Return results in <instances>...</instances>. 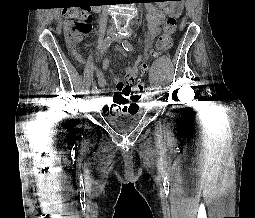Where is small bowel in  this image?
Listing matches in <instances>:
<instances>
[{"label":"small bowel","instance_id":"c3829d8e","mask_svg":"<svg viewBox=\"0 0 255 218\" xmlns=\"http://www.w3.org/2000/svg\"><path fill=\"white\" fill-rule=\"evenodd\" d=\"M181 7V4H180ZM176 5L175 4H161L159 8H157L153 4H148L146 6V17L148 24V32L146 35V44H147V52L144 56L138 57L135 63L127 68V78L126 80L119 78L117 76L114 77V81L116 83V90L111 91L110 97L104 100V113L105 114H114L119 113L120 107L127 105L129 107H133L129 105V93L125 91L124 87L126 85H132L136 80L140 77V69L147 67V60L149 57H157L158 52H153L150 48L151 43L154 38L158 35L160 31V26L166 16H170L175 12ZM109 60L106 58L103 60V68L108 69ZM92 71L95 74L97 80V86L99 92L108 91V84L103 75V73L93 67ZM133 112V111H128Z\"/></svg>","mask_w":255,"mask_h":218}]
</instances>
